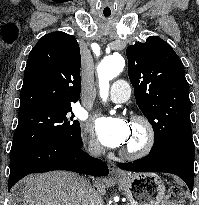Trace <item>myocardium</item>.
<instances>
[{"label": "myocardium", "mask_w": 199, "mask_h": 205, "mask_svg": "<svg viewBox=\"0 0 199 205\" xmlns=\"http://www.w3.org/2000/svg\"><path fill=\"white\" fill-rule=\"evenodd\" d=\"M131 123L141 128L142 141L137 147L123 148L120 154L126 159L133 160L143 158L152 151L156 142V132L151 121L143 115H134Z\"/></svg>", "instance_id": "1"}]
</instances>
